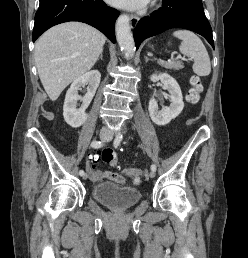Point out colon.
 Instances as JSON below:
<instances>
[{
	"label": "colon",
	"mask_w": 248,
	"mask_h": 258,
	"mask_svg": "<svg viewBox=\"0 0 248 258\" xmlns=\"http://www.w3.org/2000/svg\"><path fill=\"white\" fill-rule=\"evenodd\" d=\"M202 92V83L199 76L194 75L191 78V88L188 90L186 94V101L189 104H196L200 99V94ZM101 150L104 151L102 153V160L111 165H116L117 156L116 154L110 150L109 146H102ZM94 155H88L85 165V173H89L90 175H95L98 173V165L96 163L99 162L101 156L99 155V151H94ZM140 181L139 177L134 178V184H138Z\"/></svg>",
	"instance_id": "obj_1"
}]
</instances>
